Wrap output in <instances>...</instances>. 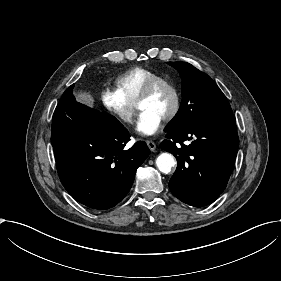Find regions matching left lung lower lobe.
<instances>
[{"label":"left lung lower lobe","instance_id":"1","mask_svg":"<svg viewBox=\"0 0 281 281\" xmlns=\"http://www.w3.org/2000/svg\"><path fill=\"white\" fill-rule=\"evenodd\" d=\"M163 150L177 159L170 179L172 194L182 202L203 207L224 191L239 146L235 116L199 122L167 132ZM189 140V145L184 141Z\"/></svg>","mask_w":281,"mask_h":281}]
</instances>
